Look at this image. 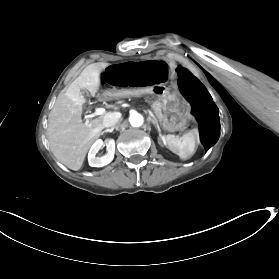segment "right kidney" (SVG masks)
Masks as SVG:
<instances>
[{
	"mask_svg": "<svg viewBox=\"0 0 279 279\" xmlns=\"http://www.w3.org/2000/svg\"><path fill=\"white\" fill-rule=\"evenodd\" d=\"M105 145L107 147V154L102 157H96L101 147ZM115 154V141L114 139H107L106 141L97 140L90 149L88 155V162L91 167H103L109 164Z\"/></svg>",
	"mask_w": 279,
	"mask_h": 279,
	"instance_id": "right-kidney-1",
	"label": "right kidney"
}]
</instances>
